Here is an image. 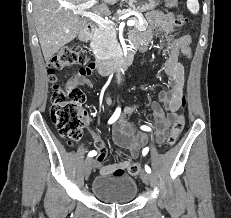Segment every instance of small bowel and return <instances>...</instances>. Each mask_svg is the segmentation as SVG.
Segmentation results:
<instances>
[{
    "label": "small bowel",
    "mask_w": 231,
    "mask_h": 218,
    "mask_svg": "<svg viewBox=\"0 0 231 218\" xmlns=\"http://www.w3.org/2000/svg\"><path fill=\"white\" fill-rule=\"evenodd\" d=\"M146 16L152 28L141 34L134 33L132 35L134 46L142 50L146 49L152 42L154 35L166 39L169 45L168 55L161 70L167 75L170 87L159 92V100L164 105L166 112L163 111L158 102L153 101L151 103L157 129L156 141L162 143L167 136L172 119L181 107L186 69L179 57L180 55L187 58L191 56V37L189 35H183L177 38L171 37V32L175 25L174 15L171 12L151 11L148 12ZM95 66L93 63H88L83 66L82 69H78V72L72 78L73 83L77 86L92 87L93 83L89 77ZM138 108L139 106L135 105L126 106L124 113L132 114ZM91 133L97 152L92 166L98 169L103 175H125L129 164L133 159L138 157L142 144L146 139L142 135L134 134L127 124L119 122L114 128L113 139L122 150L124 161L111 164L105 161L107 149L102 137L94 130H92Z\"/></svg>",
    "instance_id": "small-bowel-1"
}]
</instances>
